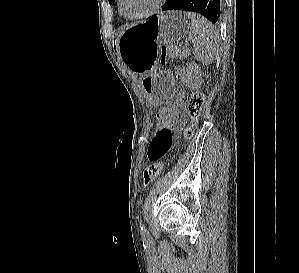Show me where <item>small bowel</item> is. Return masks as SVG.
Instances as JSON below:
<instances>
[{
    "instance_id": "obj_1",
    "label": "small bowel",
    "mask_w": 299,
    "mask_h": 273,
    "mask_svg": "<svg viewBox=\"0 0 299 273\" xmlns=\"http://www.w3.org/2000/svg\"><path fill=\"white\" fill-rule=\"evenodd\" d=\"M185 123L186 116L181 111L170 126L156 129L147 150V155L151 162H157L172 148L174 141L180 137Z\"/></svg>"
}]
</instances>
